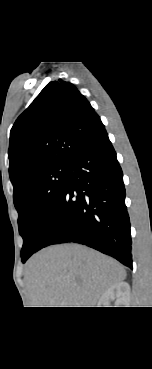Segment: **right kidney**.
Wrapping results in <instances>:
<instances>
[{
  "instance_id": "1",
  "label": "right kidney",
  "mask_w": 152,
  "mask_h": 369,
  "mask_svg": "<svg viewBox=\"0 0 152 369\" xmlns=\"http://www.w3.org/2000/svg\"><path fill=\"white\" fill-rule=\"evenodd\" d=\"M130 286L127 282H119L111 286L99 299L98 307H111V302L115 300L114 307H129Z\"/></svg>"
}]
</instances>
